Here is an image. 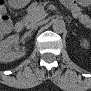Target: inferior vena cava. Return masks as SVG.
<instances>
[{
	"mask_svg": "<svg viewBox=\"0 0 91 91\" xmlns=\"http://www.w3.org/2000/svg\"><path fill=\"white\" fill-rule=\"evenodd\" d=\"M43 24V21H36V22H32L30 24L27 25V28L29 29H35L37 28L39 25H42Z\"/></svg>",
	"mask_w": 91,
	"mask_h": 91,
	"instance_id": "obj_1",
	"label": "inferior vena cava"
}]
</instances>
